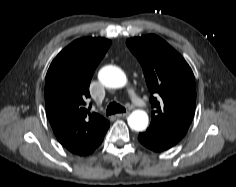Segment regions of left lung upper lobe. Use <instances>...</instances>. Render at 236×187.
<instances>
[{
  "instance_id": "obj_1",
  "label": "left lung upper lobe",
  "mask_w": 236,
  "mask_h": 187,
  "mask_svg": "<svg viewBox=\"0 0 236 187\" xmlns=\"http://www.w3.org/2000/svg\"><path fill=\"white\" fill-rule=\"evenodd\" d=\"M140 62L150 91L152 120L147 133L179 142L195 112L196 86L193 72L184 58L156 35L126 41ZM153 95H159L157 99Z\"/></svg>"
}]
</instances>
